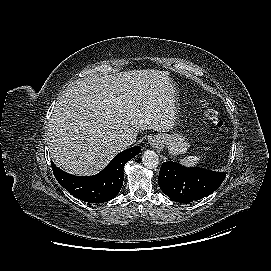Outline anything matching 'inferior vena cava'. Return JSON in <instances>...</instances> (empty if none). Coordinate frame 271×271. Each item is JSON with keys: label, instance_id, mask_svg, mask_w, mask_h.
Segmentation results:
<instances>
[{"label": "inferior vena cava", "instance_id": "inferior-vena-cava-1", "mask_svg": "<svg viewBox=\"0 0 271 271\" xmlns=\"http://www.w3.org/2000/svg\"><path fill=\"white\" fill-rule=\"evenodd\" d=\"M134 143V138L130 134H122L118 139V146L122 149L131 146Z\"/></svg>", "mask_w": 271, "mask_h": 271}]
</instances>
